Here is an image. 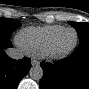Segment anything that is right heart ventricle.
Returning a JSON list of instances; mask_svg holds the SVG:
<instances>
[{"label":"right heart ventricle","instance_id":"1","mask_svg":"<svg viewBox=\"0 0 89 89\" xmlns=\"http://www.w3.org/2000/svg\"><path fill=\"white\" fill-rule=\"evenodd\" d=\"M62 28L61 25L29 26L19 32L17 42L28 54L43 56L50 38Z\"/></svg>","mask_w":89,"mask_h":89}]
</instances>
